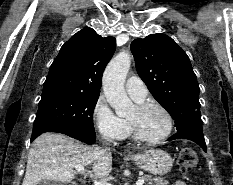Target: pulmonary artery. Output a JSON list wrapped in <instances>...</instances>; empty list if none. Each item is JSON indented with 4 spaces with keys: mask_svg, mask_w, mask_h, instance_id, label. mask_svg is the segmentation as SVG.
Returning <instances> with one entry per match:
<instances>
[{
    "mask_svg": "<svg viewBox=\"0 0 233 185\" xmlns=\"http://www.w3.org/2000/svg\"><path fill=\"white\" fill-rule=\"evenodd\" d=\"M125 87L127 93L136 101H142L147 97V87L145 83L137 76L128 77Z\"/></svg>",
    "mask_w": 233,
    "mask_h": 185,
    "instance_id": "obj_1",
    "label": "pulmonary artery"
}]
</instances>
